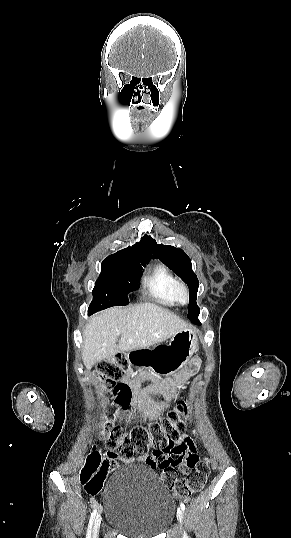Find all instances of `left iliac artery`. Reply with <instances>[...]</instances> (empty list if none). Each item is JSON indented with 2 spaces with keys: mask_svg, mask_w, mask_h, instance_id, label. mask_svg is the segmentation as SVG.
I'll return each mask as SVG.
<instances>
[{
  "mask_svg": "<svg viewBox=\"0 0 291 538\" xmlns=\"http://www.w3.org/2000/svg\"><path fill=\"white\" fill-rule=\"evenodd\" d=\"M180 507H181V509H182L183 511H185V505H184L183 502L180 503Z\"/></svg>",
  "mask_w": 291,
  "mask_h": 538,
  "instance_id": "1",
  "label": "left iliac artery"
}]
</instances>
